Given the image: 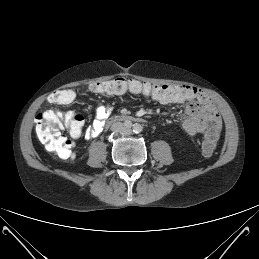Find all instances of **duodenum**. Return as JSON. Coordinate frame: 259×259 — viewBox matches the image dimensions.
<instances>
[{"mask_svg":"<svg viewBox=\"0 0 259 259\" xmlns=\"http://www.w3.org/2000/svg\"><path fill=\"white\" fill-rule=\"evenodd\" d=\"M144 120L140 117H135L132 115H128V114H119V115H114L112 117H110L107 121H106V126H110L112 124H116V123H132V122H143Z\"/></svg>","mask_w":259,"mask_h":259,"instance_id":"1","label":"duodenum"}]
</instances>
